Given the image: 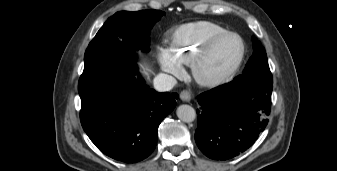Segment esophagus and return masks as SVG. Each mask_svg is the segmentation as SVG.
<instances>
[{
	"label": "esophagus",
	"mask_w": 337,
	"mask_h": 171,
	"mask_svg": "<svg viewBox=\"0 0 337 171\" xmlns=\"http://www.w3.org/2000/svg\"><path fill=\"white\" fill-rule=\"evenodd\" d=\"M180 98L182 101L184 102H189L191 100V94L189 91L187 90H183L181 93H180Z\"/></svg>",
	"instance_id": "34e87169"
}]
</instances>
